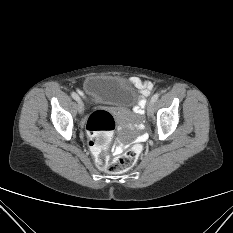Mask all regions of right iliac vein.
I'll list each match as a JSON object with an SVG mask.
<instances>
[{"label": "right iliac vein", "mask_w": 233, "mask_h": 233, "mask_svg": "<svg viewBox=\"0 0 233 233\" xmlns=\"http://www.w3.org/2000/svg\"><path fill=\"white\" fill-rule=\"evenodd\" d=\"M76 101H77V104H78V111H79L80 114H82L83 111H84L83 101L81 100V98L79 96H77Z\"/></svg>", "instance_id": "1"}]
</instances>
